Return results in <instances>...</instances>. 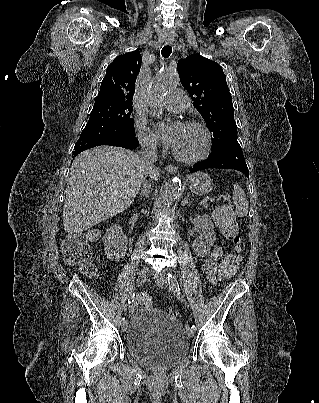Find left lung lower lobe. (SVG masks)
<instances>
[{
  "mask_svg": "<svg viewBox=\"0 0 319 403\" xmlns=\"http://www.w3.org/2000/svg\"><path fill=\"white\" fill-rule=\"evenodd\" d=\"M208 168L235 169L249 178L248 167L239 143L228 145L216 153H211L205 161L196 163L190 172Z\"/></svg>",
  "mask_w": 319,
  "mask_h": 403,
  "instance_id": "1",
  "label": "left lung lower lobe"
}]
</instances>
